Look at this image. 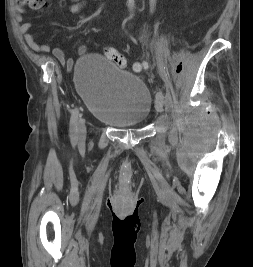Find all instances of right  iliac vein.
<instances>
[{
  "instance_id": "obj_1",
  "label": "right iliac vein",
  "mask_w": 253,
  "mask_h": 267,
  "mask_svg": "<svg viewBox=\"0 0 253 267\" xmlns=\"http://www.w3.org/2000/svg\"><path fill=\"white\" fill-rule=\"evenodd\" d=\"M78 134H79V141L84 142L87 131H86L85 122L83 120L79 121Z\"/></svg>"
}]
</instances>
